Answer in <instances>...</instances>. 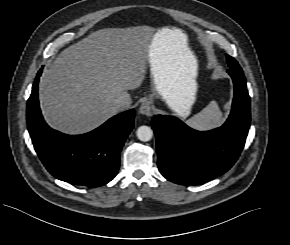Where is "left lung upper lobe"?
Segmentation results:
<instances>
[{
    "mask_svg": "<svg viewBox=\"0 0 290 245\" xmlns=\"http://www.w3.org/2000/svg\"><path fill=\"white\" fill-rule=\"evenodd\" d=\"M227 61H228V66L230 68H241L238 64V62L231 56L227 55Z\"/></svg>",
    "mask_w": 290,
    "mask_h": 245,
    "instance_id": "obj_1",
    "label": "left lung upper lobe"
}]
</instances>
